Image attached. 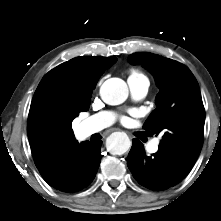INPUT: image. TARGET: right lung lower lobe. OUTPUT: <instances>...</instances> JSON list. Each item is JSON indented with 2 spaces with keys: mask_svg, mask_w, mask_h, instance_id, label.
I'll return each mask as SVG.
<instances>
[{
  "mask_svg": "<svg viewBox=\"0 0 221 221\" xmlns=\"http://www.w3.org/2000/svg\"><path fill=\"white\" fill-rule=\"evenodd\" d=\"M102 141L76 143L55 164L40 172L53 188L76 192L87 187L94 179L100 161Z\"/></svg>",
  "mask_w": 221,
  "mask_h": 221,
  "instance_id": "98d812e1",
  "label": "right lung lower lobe"
}]
</instances>
